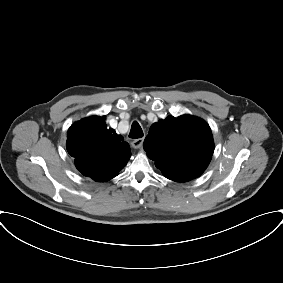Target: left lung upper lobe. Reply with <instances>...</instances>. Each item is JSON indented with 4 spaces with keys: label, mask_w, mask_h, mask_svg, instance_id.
<instances>
[{
    "label": "left lung upper lobe",
    "mask_w": 283,
    "mask_h": 283,
    "mask_svg": "<svg viewBox=\"0 0 283 283\" xmlns=\"http://www.w3.org/2000/svg\"><path fill=\"white\" fill-rule=\"evenodd\" d=\"M143 148L166 178L185 182L206 169L214 143L211 129L202 119L168 116L151 125Z\"/></svg>",
    "instance_id": "left-lung-upper-lobe-1"
}]
</instances>
